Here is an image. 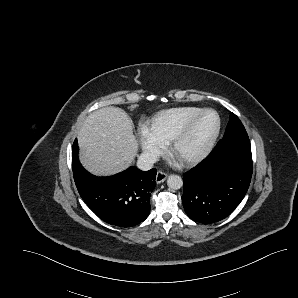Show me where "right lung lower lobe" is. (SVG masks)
<instances>
[{
	"instance_id": "98d812e1",
	"label": "right lung lower lobe",
	"mask_w": 298,
	"mask_h": 298,
	"mask_svg": "<svg viewBox=\"0 0 298 298\" xmlns=\"http://www.w3.org/2000/svg\"><path fill=\"white\" fill-rule=\"evenodd\" d=\"M72 169L80 196L103 221L131 227L150 213V196L156 186V169L141 171L136 167L110 177L87 172L78 159V143L72 148Z\"/></svg>"
}]
</instances>
